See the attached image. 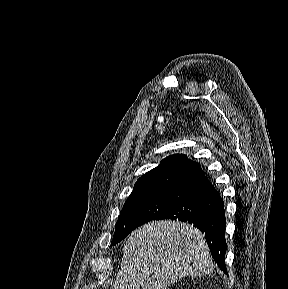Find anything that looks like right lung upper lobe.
<instances>
[{
  "label": "right lung upper lobe",
  "instance_id": "cb5924a9",
  "mask_svg": "<svg viewBox=\"0 0 288 289\" xmlns=\"http://www.w3.org/2000/svg\"><path fill=\"white\" fill-rule=\"evenodd\" d=\"M205 177L199 163L183 154L171 155L161 164L140 177L133 191L168 187L188 190Z\"/></svg>",
  "mask_w": 288,
  "mask_h": 289
}]
</instances>
